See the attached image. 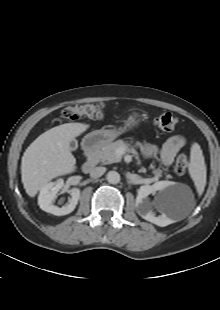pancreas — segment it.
Instances as JSON below:
<instances>
[{
  "label": "pancreas",
  "mask_w": 220,
  "mask_h": 310,
  "mask_svg": "<svg viewBox=\"0 0 220 310\" xmlns=\"http://www.w3.org/2000/svg\"><path fill=\"white\" fill-rule=\"evenodd\" d=\"M119 148H124L128 150L129 144L123 140H117L115 142L109 143L102 147V149L97 153V158L103 164H112L115 162H119L121 161V156L116 153ZM151 168H154V166H151ZM162 172L163 171L159 168L153 170V174L156 176H161Z\"/></svg>",
  "instance_id": "cf45deb5"
}]
</instances>
